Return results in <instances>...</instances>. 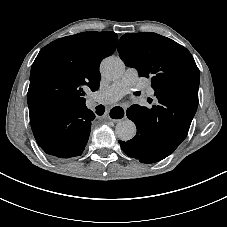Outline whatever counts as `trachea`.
Wrapping results in <instances>:
<instances>
[{"mask_svg": "<svg viewBox=\"0 0 227 227\" xmlns=\"http://www.w3.org/2000/svg\"><path fill=\"white\" fill-rule=\"evenodd\" d=\"M104 111H105V108H104L103 105H99V106L96 107V113L98 115H103L104 114Z\"/></svg>", "mask_w": 227, "mask_h": 227, "instance_id": "trachea-1", "label": "trachea"}]
</instances>
